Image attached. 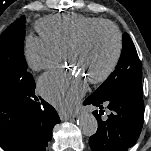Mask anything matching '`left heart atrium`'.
I'll list each match as a JSON object with an SVG mask.
<instances>
[{
	"instance_id": "left-heart-atrium-1",
	"label": "left heart atrium",
	"mask_w": 151,
	"mask_h": 151,
	"mask_svg": "<svg viewBox=\"0 0 151 151\" xmlns=\"http://www.w3.org/2000/svg\"><path fill=\"white\" fill-rule=\"evenodd\" d=\"M88 80L72 69L56 68L39 79V91L42 96L62 111L74 107L87 89Z\"/></svg>"
}]
</instances>
